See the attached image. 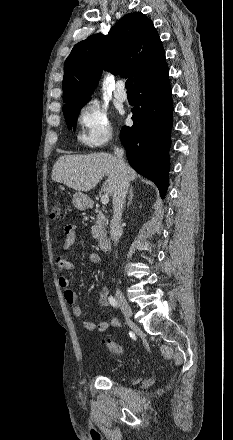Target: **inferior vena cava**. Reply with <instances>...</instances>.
<instances>
[{
  "label": "inferior vena cava",
  "mask_w": 233,
  "mask_h": 440,
  "mask_svg": "<svg viewBox=\"0 0 233 440\" xmlns=\"http://www.w3.org/2000/svg\"><path fill=\"white\" fill-rule=\"evenodd\" d=\"M114 154L117 159L118 169L120 172L117 186L113 193V217L110 223V237L114 244L117 245L122 234L121 219L124 208L125 197L129 189V181L125 172V163L123 160V150L116 148Z\"/></svg>",
  "instance_id": "obj_1"
}]
</instances>
